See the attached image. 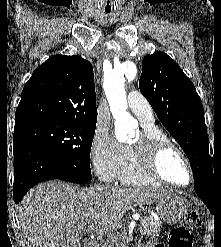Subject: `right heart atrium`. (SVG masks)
<instances>
[{"label": "right heart atrium", "instance_id": "d8ad5b80", "mask_svg": "<svg viewBox=\"0 0 221 247\" xmlns=\"http://www.w3.org/2000/svg\"><path fill=\"white\" fill-rule=\"evenodd\" d=\"M123 145L107 130L98 128L89 149V159L94 173L103 181L118 178L122 163Z\"/></svg>", "mask_w": 221, "mask_h": 247}]
</instances>
